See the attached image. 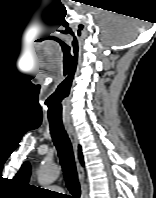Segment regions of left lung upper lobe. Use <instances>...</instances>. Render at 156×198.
<instances>
[{"label": "left lung upper lobe", "instance_id": "1", "mask_svg": "<svg viewBox=\"0 0 156 198\" xmlns=\"http://www.w3.org/2000/svg\"><path fill=\"white\" fill-rule=\"evenodd\" d=\"M30 177V164L28 162H25L16 176L14 177L15 180L20 181L23 184H27Z\"/></svg>", "mask_w": 156, "mask_h": 198}]
</instances>
